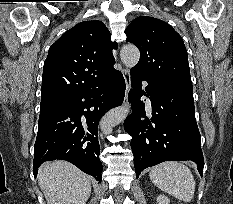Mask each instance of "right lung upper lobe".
I'll return each instance as SVG.
<instances>
[{
	"label": "right lung upper lobe",
	"mask_w": 233,
	"mask_h": 204,
	"mask_svg": "<svg viewBox=\"0 0 233 204\" xmlns=\"http://www.w3.org/2000/svg\"><path fill=\"white\" fill-rule=\"evenodd\" d=\"M113 48L117 43L101 21H84L65 32L44 62L41 104L65 101L103 81L114 69Z\"/></svg>",
	"instance_id": "1"
}]
</instances>
